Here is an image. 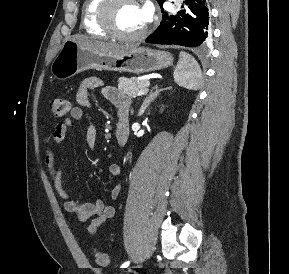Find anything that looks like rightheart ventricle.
<instances>
[{
    "mask_svg": "<svg viewBox=\"0 0 289 274\" xmlns=\"http://www.w3.org/2000/svg\"><path fill=\"white\" fill-rule=\"evenodd\" d=\"M103 0H86L82 10V24L91 35L105 37L107 33L98 23V10Z\"/></svg>",
    "mask_w": 289,
    "mask_h": 274,
    "instance_id": "e07e8e85",
    "label": "right heart ventricle"
}]
</instances>
